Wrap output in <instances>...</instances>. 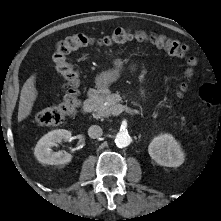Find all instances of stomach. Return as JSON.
Here are the masks:
<instances>
[{
	"label": "stomach",
	"mask_w": 221,
	"mask_h": 221,
	"mask_svg": "<svg viewBox=\"0 0 221 221\" xmlns=\"http://www.w3.org/2000/svg\"><path fill=\"white\" fill-rule=\"evenodd\" d=\"M115 68L102 72L96 78V85L100 89H106L110 84L115 82L120 75V69L122 68V61L116 59L114 61Z\"/></svg>",
	"instance_id": "obj_1"
}]
</instances>
